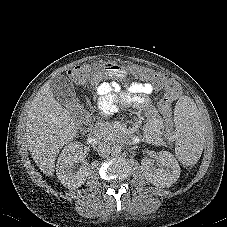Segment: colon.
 I'll return each mask as SVG.
<instances>
[{"label": "colon", "instance_id": "5ec220e1", "mask_svg": "<svg viewBox=\"0 0 227 227\" xmlns=\"http://www.w3.org/2000/svg\"><path fill=\"white\" fill-rule=\"evenodd\" d=\"M102 71V67L97 65H84L78 66L70 70V80L78 85L84 84L87 80L88 74L92 71ZM129 74L131 76H137L141 80L155 82L156 85L164 86L167 90L166 98L159 104V114L163 119L162 124L164 126V141L168 149L174 150L177 148L178 143L175 139V123L171 119L174 116V109L170 103L176 99L180 93V85L172 80L168 79L164 74L158 71L140 68L138 65H131L129 67ZM77 122L83 128H88L89 125V112L80 104H74L71 108Z\"/></svg>", "mask_w": 227, "mask_h": 227}]
</instances>
